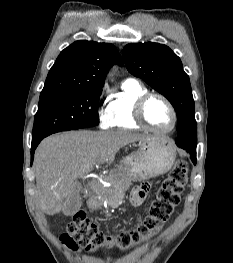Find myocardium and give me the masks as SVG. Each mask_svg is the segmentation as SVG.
<instances>
[{"mask_svg": "<svg viewBox=\"0 0 233 263\" xmlns=\"http://www.w3.org/2000/svg\"><path fill=\"white\" fill-rule=\"evenodd\" d=\"M153 98H159L160 100H162L167 105L168 109L171 112L172 124L168 129L161 130V129L154 128L153 126L150 125V123L146 119L145 109H146L148 102ZM134 118H135V121L140 126L146 128L147 130H150L152 132L158 133V134H168V133L172 132L174 130V128L176 127V124H177V113H176V110H175L173 104L164 95H162L160 93H154V92H148L145 95L141 96L137 100V102L135 104V108H134Z\"/></svg>", "mask_w": 233, "mask_h": 263, "instance_id": "obj_1", "label": "myocardium"}]
</instances>
